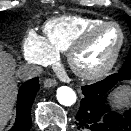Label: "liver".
I'll list each match as a JSON object with an SVG mask.
<instances>
[{"instance_id": "1", "label": "liver", "mask_w": 131, "mask_h": 131, "mask_svg": "<svg viewBox=\"0 0 131 131\" xmlns=\"http://www.w3.org/2000/svg\"><path fill=\"white\" fill-rule=\"evenodd\" d=\"M15 65L0 48V130L7 124L17 93Z\"/></svg>"}]
</instances>
